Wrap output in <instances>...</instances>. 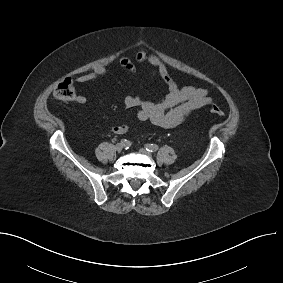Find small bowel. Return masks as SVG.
<instances>
[{"mask_svg":"<svg viewBox=\"0 0 283 283\" xmlns=\"http://www.w3.org/2000/svg\"><path fill=\"white\" fill-rule=\"evenodd\" d=\"M136 63L144 65L150 75L159 78L167 86V94L159 102H151L137 95H125L123 103L127 108H136V117L140 121H150L162 128H173L183 123L194 111L211 103V98L206 89L193 86L178 87L172 78L165 63L155 54L145 50H139L134 60L128 56L119 59V65L132 75L137 74ZM108 74L104 66L96 67L92 72L80 75L76 78L78 83L89 84L102 79ZM75 103L83 105L86 97L78 95ZM128 124L122 123L112 128V132L122 135L128 131Z\"/></svg>","mask_w":283,"mask_h":283,"instance_id":"small-bowel-1","label":"small bowel"}]
</instances>
